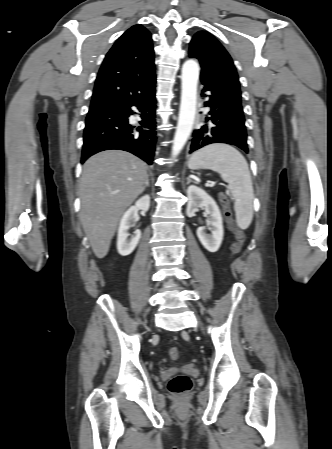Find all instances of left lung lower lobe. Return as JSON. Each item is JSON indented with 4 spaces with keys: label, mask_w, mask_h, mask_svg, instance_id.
Returning <instances> with one entry per match:
<instances>
[{
    "label": "left lung lower lobe",
    "mask_w": 332,
    "mask_h": 449,
    "mask_svg": "<svg viewBox=\"0 0 332 449\" xmlns=\"http://www.w3.org/2000/svg\"><path fill=\"white\" fill-rule=\"evenodd\" d=\"M206 91L210 92L205 102V106L210 107V116L206 117L203 126L193 131L189 153L213 143L235 145L248 153L242 105L204 86L202 92Z\"/></svg>",
    "instance_id": "obj_1"
}]
</instances>
